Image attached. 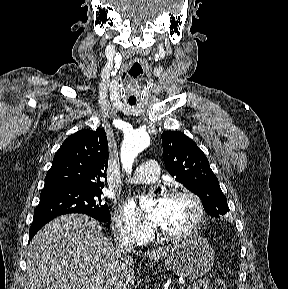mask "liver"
<instances>
[{
	"mask_svg": "<svg viewBox=\"0 0 288 289\" xmlns=\"http://www.w3.org/2000/svg\"><path fill=\"white\" fill-rule=\"evenodd\" d=\"M172 247L149 250L161 260ZM133 258L117 252L95 219L68 214L46 224L31 240L27 254L30 289H132Z\"/></svg>",
	"mask_w": 288,
	"mask_h": 289,
	"instance_id": "1",
	"label": "liver"
}]
</instances>
